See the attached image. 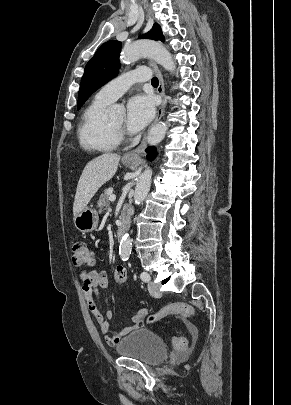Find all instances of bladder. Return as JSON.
Listing matches in <instances>:
<instances>
[{"label": "bladder", "instance_id": "obj_1", "mask_svg": "<svg viewBox=\"0 0 291 405\" xmlns=\"http://www.w3.org/2000/svg\"><path fill=\"white\" fill-rule=\"evenodd\" d=\"M116 351L121 356L136 359L150 366L160 364L168 355L164 340L146 328L134 330L121 339Z\"/></svg>", "mask_w": 291, "mask_h": 405}]
</instances>
